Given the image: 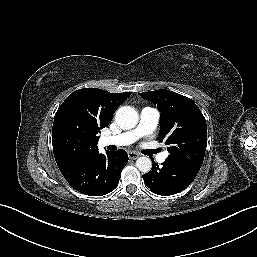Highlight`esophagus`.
<instances>
[{
    "mask_svg": "<svg viewBox=\"0 0 257 257\" xmlns=\"http://www.w3.org/2000/svg\"><path fill=\"white\" fill-rule=\"evenodd\" d=\"M139 156H140V154L137 153V152H134V151L128 152V157H129L130 159L135 160V159H137Z\"/></svg>",
    "mask_w": 257,
    "mask_h": 257,
    "instance_id": "1",
    "label": "esophagus"
}]
</instances>
